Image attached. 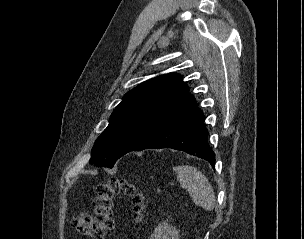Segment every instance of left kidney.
I'll return each instance as SVG.
<instances>
[{
	"label": "left kidney",
	"mask_w": 304,
	"mask_h": 239,
	"mask_svg": "<svg viewBox=\"0 0 304 239\" xmlns=\"http://www.w3.org/2000/svg\"><path fill=\"white\" fill-rule=\"evenodd\" d=\"M149 239H179V231L166 220L155 228Z\"/></svg>",
	"instance_id": "left-kidney-1"
}]
</instances>
